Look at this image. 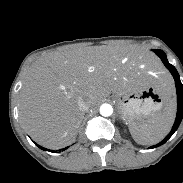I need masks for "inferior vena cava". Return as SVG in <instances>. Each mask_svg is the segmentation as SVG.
<instances>
[{
	"instance_id": "inferior-vena-cava-1",
	"label": "inferior vena cava",
	"mask_w": 183,
	"mask_h": 183,
	"mask_svg": "<svg viewBox=\"0 0 183 183\" xmlns=\"http://www.w3.org/2000/svg\"><path fill=\"white\" fill-rule=\"evenodd\" d=\"M78 106L82 111L86 112L90 108V103L88 101H85L84 99L80 98L78 101Z\"/></svg>"
}]
</instances>
